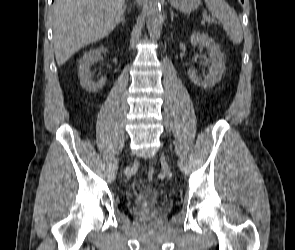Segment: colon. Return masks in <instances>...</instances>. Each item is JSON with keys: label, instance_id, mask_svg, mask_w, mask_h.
Listing matches in <instances>:
<instances>
[{"label": "colon", "instance_id": "colon-1", "mask_svg": "<svg viewBox=\"0 0 295 250\" xmlns=\"http://www.w3.org/2000/svg\"><path fill=\"white\" fill-rule=\"evenodd\" d=\"M155 175V170L153 168H150L148 171H147V178L149 180H151Z\"/></svg>", "mask_w": 295, "mask_h": 250}]
</instances>
